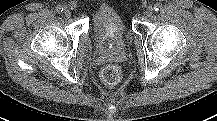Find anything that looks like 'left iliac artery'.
I'll return each mask as SVG.
<instances>
[{"label": "left iliac artery", "mask_w": 217, "mask_h": 121, "mask_svg": "<svg viewBox=\"0 0 217 121\" xmlns=\"http://www.w3.org/2000/svg\"><path fill=\"white\" fill-rule=\"evenodd\" d=\"M161 8H162V4H161V3H156V4L154 5V10H155V11H159Z\"/></svg>", "instance_id": "1"}]
</instances>
